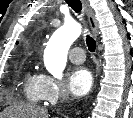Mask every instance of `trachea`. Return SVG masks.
Instances as JSON below:
<instances>
[{
	"label": "trachea",
	"mask_w": 133,
	"mask_h": 118,
	"mask_svg": "<svg viewBox=\"0 0 133 118\" xmlns=\"http://www.w3.org/2000/svg\"><path fill=\"white\" fill-rule=\"evenodd\" d=\"M66 2L76 13H81L82 4L80 0H66ZM86 43L89 51L94 52L96 49V42L90 35L86 36Z\"/></svg>",
	"instance_id": "1"
}]
</instances>
